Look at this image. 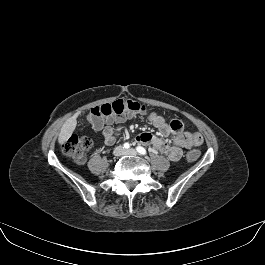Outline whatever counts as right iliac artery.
Instances as JSON below:
<instances>
[{
    "label": "right iliac artery",
    "mask_w": 265,
    "mask_h": 265,
    "mask_svg": "<svg viewBox=\"0 0 265 265\" xmlns=\"http://www.w3.org/2000/svg\"><path fill=\"white\" fill-rule=\"evenodd\" d=\"M124 148H125V149L130 148V144H129V143H125V144H124Z\"/></svg>",
    "instance_id": "82829eb1"
}]
</instances>
